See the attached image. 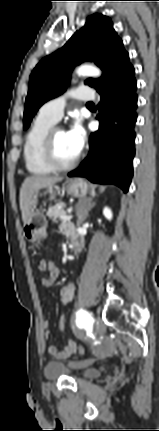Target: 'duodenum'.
<instances>
[{"mask_svg": "<svg viewBox=\"0 0 159 431\" xmlns=\"http://www.w3.org/2000/svg\"><path fill=\"white\" fill-rule=\"evenodd\" d=\"M70 239H71V246L74 250H79L82 246V240L80 237H78L76 235V233L74 231H71L70 234Z\"/></svg>", "mask_w": 159, "mask_h": 431, "instance_id": "duodenum-1", "label": "duodenum"}]
</instances>
